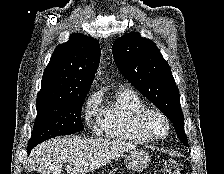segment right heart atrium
<instances>
[{
    "label": "right heart atrium",
    "mask_w": 224,
    "mask_h": 174,
    "mask_svg": "<svg viewBox=\"0 0 224 174\" xmlns=\"http://www.w3.org/2000/svg\"><path fill=\"white\" fill-rule=\"evenodd\" d=\"M101 96L99 93H93L89 96L86 100L85 107H84V117L86 123L92 127L94 122L99 119L100 116V109L98 107L100 103Z\"/></svg>",
    "instance_id": "1"
}]
</instances>
